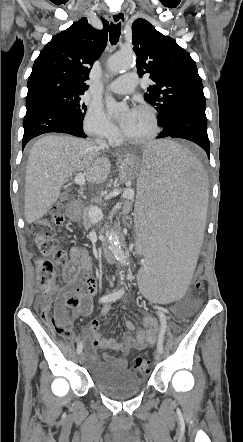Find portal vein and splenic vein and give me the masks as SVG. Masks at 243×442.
<instances>
[{
  "instance_id": "portal-vein-and-splenic-vein-1",
  "label": "portal vein and splenic vein",
  "mask_w": 243,
  "mask_h": 442,
  "mask_svg": "<svg viewBox=\"0 0 243 442\" xmlns=\"http://www.w3.org/2000/svg\"><path fill=\"white\" fill-rule=\"evenodd\" d=\"M74 180L80 186H83L85 184V177L80 172L75 173ZM123 197L128 200H132L134 198V191L131 188H127L123 193ZM102 216H103L102 211L98 207L94 206L90 208L89 217L91 218V220L99 221L101 220Z\"/></svg>"
}]
</instances>
